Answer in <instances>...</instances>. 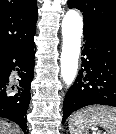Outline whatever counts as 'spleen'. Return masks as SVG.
Returning a JSON list of instances; mask_svg holds the SVG:
<instances>
[{
    "label": "spleen",
    "mask_w": 116,
    "mask_h": 134,
    "mask_svg": "<svg viewBox=\"0 0 116 134\" xmlns=\"http://www.w3.org/2000/svg\"><path fill=\"white\" fill-rule=\"evenodd\" d=\"M102 126L107 134H116V108L91 106L75 112L69 119L71 134H88L90 128Z\"/></svg>",
    "instance_id": "spleen-1"
}]
</instances>
